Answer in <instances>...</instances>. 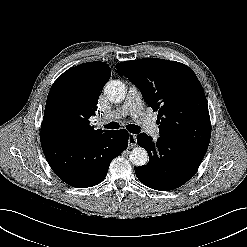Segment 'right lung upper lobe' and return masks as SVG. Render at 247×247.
<instances>
[{
    "label": "right lung upper lobe",
    "instance_id": "1",
    "mask_svg": "<svg viewBox=\"0 0 247 247\" xmlns=\"http://www.w3.org/2000/svg\"><path fill=\"white\" fill-rule=\"evenodd\" d=\"M110 76L104 62H87L65 71L49 91L41 134L82 143L104 133L95 130L89 118L95 115L99 95Z\"/></svg>",
    "mask_w": 247,
    "mask_h": 247
}]
</instances>
